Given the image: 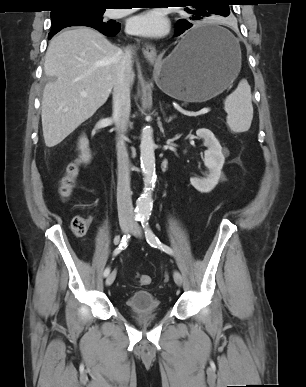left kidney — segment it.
Masks as SVG:
<instances>
[{"label":"left kidney","instance_id":"left-kidney-1","mask_svg":"<svg viewBox=\"0 0 306 387\" xmlns=\"http://www.w3.org/2000/svg\"><path fill=\"white\" fill-rule=\"evenodd\" d=\"M196 135L204 140V145L208 148L204 152V164L208 168L209 174L206 178L192 177L190 182L198 191L208 193L218 184L225 157L219 141L209 129H198Z\"/></svg>","mask_w":306,"mask_h":387}]
</instances>
